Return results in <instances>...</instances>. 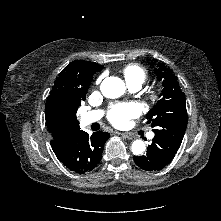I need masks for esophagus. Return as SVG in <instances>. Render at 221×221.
<instances>
[{
    "label": "esophagus",
    "mask_w": 221,
    "mask_h": 221,
    "mask_svg": "<svg viewBox=\"0 0 221 221\" xmlns=\"http://www.w3.org/2000/svg\"><path fill=\"white\" fill-rule=\"evenodd\" d=\"M120 134L122 137L126 138V139H133L134 136L130 133H118Z\"/></svg>",
    "instance_id": "1"
}]
</instances>
